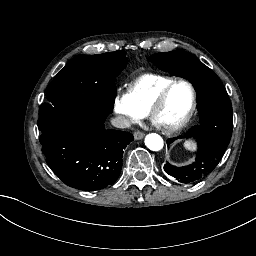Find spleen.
I'll return each instance as SVG.
<instances>
[{"label":"spleen","mask_w":256,"mask_h":256,"mask_svg":"<svg viewBox=\"0 0 256 256\" xmlns=\"http://www.w3.org/2000/svg\"><path fill=\"white\" fill-rule=\"evenodd\" d=\"M184 148L188 151L194 152L197 150V144L193 140H186L183 144Z\"/></svg>","instance_id":"3e777b00"}]
</instances>
